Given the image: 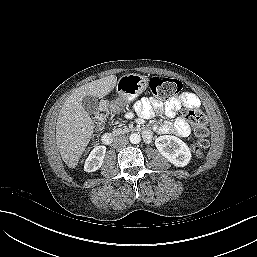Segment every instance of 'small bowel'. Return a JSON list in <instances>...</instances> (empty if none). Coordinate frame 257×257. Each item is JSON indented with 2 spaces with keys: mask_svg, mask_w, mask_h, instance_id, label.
<instances>
[{
  "mask_svg": "<svg viewBox=\"0 0 257 257\" xmlns=\"http://www.w3.org/2000/svg\"><path fill=\"white\" fill-rule=\"evenodd\" d=\"M181 106L187 108H197L200 106L199 98L191 93L184 92L180 96L169 99L164 104L156 99L143 98L135 102L133 110L142 117H150L155 112L163 113L167 117H173ZM129 117L130 114H127ZM156 131L160 134H175L179 137H185L190 133L189 124L181 117L175 119L174 122H163L156 127Z\"/></svg>",
  "mask_w": 257,
  "mask_h": 257,
  "instance_id": "1",
  "label": "small bowel"
}]
</instances>
